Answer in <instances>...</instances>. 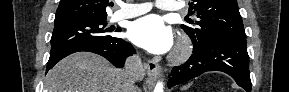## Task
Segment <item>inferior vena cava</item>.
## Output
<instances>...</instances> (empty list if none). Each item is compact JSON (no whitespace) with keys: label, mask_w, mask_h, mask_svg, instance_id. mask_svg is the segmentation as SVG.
Masks as SVG:
<instances>
[{"label":"inferior vena cava","mask_w":289,"mask_h":92,"mask_svg":"<svg viewBox=\"0 0 289 92\" xmlns=\"http://www.w3.org/2000/svg\"><path fill=\"white\" fill-rule=\"evenodd\" d=\"M145 70L141 58L138 55H132L125 61V86L127 91L132 92L136 88L135 83L144 78Z\"/></svg>","instance_id":"obj_1"}]
</instances>
